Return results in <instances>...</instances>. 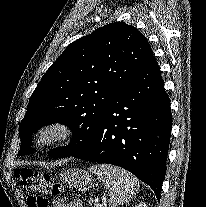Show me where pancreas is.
Listing matches in <instances>:
<instances>
[{"instance_id":"cf45deb5","label":"pancreas","mask_w":206,"mask_h":207,"mask_svg":"<svg viewBox=\"0 0 206 207\" xmlns=\"http://www.w3.org/2000/svg\"><path fill=\"white\" fill-rule=\"evenodd\" d=\"M90 203L92 204V203H93V201H90ZM95 207H98V206L96 205Z\"/></svg>"}]
</instances>
